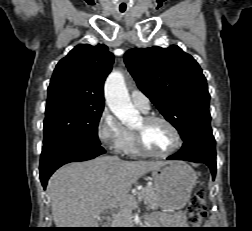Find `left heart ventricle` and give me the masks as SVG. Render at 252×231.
<instances>
[{"mask_svg":"<svg viewBox=\"0 0 252 231\" xmlns=\"http://www.w3.org/2000/svg\"><path fill=\"white\" fill-rule=\"evenodd\" d=\"M133 129L143 130L146 146L155 153H165L170 150L175 143L172 131L162 122H153L144 127L141 119L135 124Z\"/></svg>","mask_w":252,"mask_h":231,"instance_id":"obj_1","label":"left heart ventricle"}]
</instances>
